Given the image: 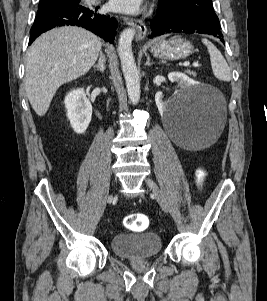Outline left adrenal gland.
Returning <instances> with one entry per match:
<instances>
[{
    "instance_id": "1",
    "label": "left adrenal gland",
    "mask_w": 267,
    "mask_h": 301,
    "mask_svg": "<svg viewBox=\"0 0 267 301\" xmlns=\"http://www.w3.org/2000/svg\"><path fill=\"white\" fill-rule=\"evenodd\" d=\"M153 63H150V57L148 56L147 57V61H146V63H145V66H150V65H152Z\"/></svg>"
}]
</instances>
